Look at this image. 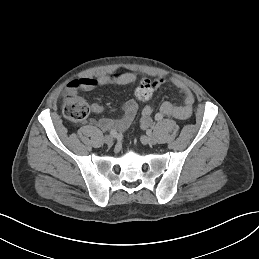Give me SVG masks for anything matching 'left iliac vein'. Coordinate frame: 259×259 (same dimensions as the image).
Masks as SVG:
<instances>
[{"label":"left iliac vein","instance_id":"obj_1","mask_svg":"<svg viewBox=\"0 0 259 259\" xmlns=\"http://www.w3.org/2000/svg\"><path fill=\"white\" fill-rule=\"evenodd\" d=\"M145 142L150 146L155 145L157 143V138L155 135L151 134L144 138Z\"/></svg>","mask_w":259,"mask_h":259}]
</instances>
